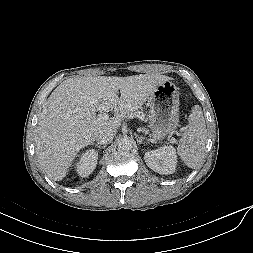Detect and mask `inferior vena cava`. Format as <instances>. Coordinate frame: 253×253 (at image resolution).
<instances>
[{"instance_id":"1","label":"inferior vena cava","mask_w":253,"mask_h":253,"mask_svg":"<svg viewBox=\"0 0 253 253\" xmlns=\"http://www.w3.org/2000/svg\"><path fill=\"white\" fill-rule=\"evenodd\" d=\"M116 135V129L113 127H104L100 129L96 135V141L98 144H108L111 143L114 136Z\"/></svg>"}]
</instances>
